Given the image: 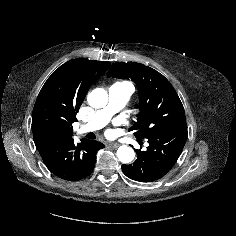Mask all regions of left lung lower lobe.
<instances>
[{
    "instance_id": "left-lung-lower-lobe-1",
    "label": "left lung lower lobe",
    "mask_w": 236,
    "mask_h": 236,
    "mask_svg": "<svg viewBox=\"0 0 236 236\" xmlns=\"http://www.w3.org/2000/svg\"><path fill=\"white\" fill-rule=\"evenodd\" d=\"M147 140V150H136V161L130 165H122L124 174L139 182L159 180L171 170L186 143L187 126L156 134Z\"/></svg>"
}]
</instances>
